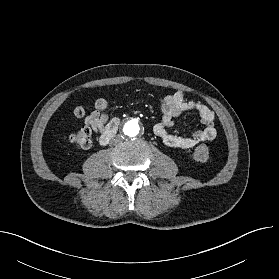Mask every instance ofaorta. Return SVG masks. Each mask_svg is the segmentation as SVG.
<instances>
[{
    "label": "aorta",
    "mask_w": 279,
    "mask_h": 279,
    "mask_svg": "<svg viewBox=\"0 0 279 279\" xmlns=\"http://www.w3.org/2000/svg\"><path fill=\"white\" fill-rule=\"evenodd\" d=\"M121 133L125 138H134L141 133V125L137 120H127L122 125Z\"/></svg>",
    "instance_id": "obj_1"
}]
</instances>
